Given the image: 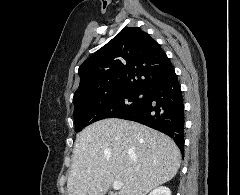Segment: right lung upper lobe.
Segmentation results:
<instances>
[{
  "instance_id": "obj_1",
  "label": "right lung upper lobe",
  "mask_w": 240,
  "mask_h": 195,
  "mask_svg": "<svg viewBox=\"0 0 240 195\" xmlns=\"http://www.w3.org/2000/svg\"><path fill=\"white\" fill-rule=\"evenodd\" d=\"M173 72L170 59L149 34L126 27L79 67L73 101L129 88L145 91Z\"/></svg>"
}]
</instances>
